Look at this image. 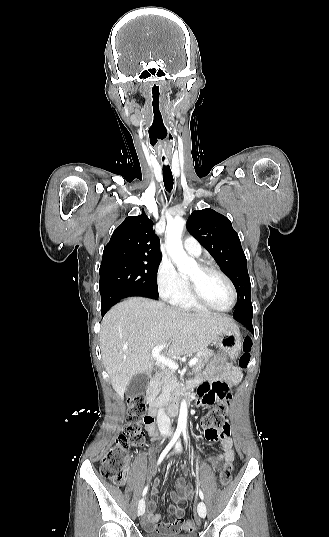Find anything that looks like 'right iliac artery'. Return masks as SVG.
Here are the masks:
<instances>
[{
	"instance_id": "obj_1",
	"label": "right iliac artery",
	"mask_w": 329,
	"mask_h": 537,
	"mask_svg": "<svg viewBox=\"0 0 329 537\" xmlns=\"http://www.w3.org/2000/svg\"><path fill=\"white\" fill-rule=\"evenodd\" d=\"M181 431L182 429L180 428H177L175 433H174V436L173 438L171 439V441L169 442V444L166 446V448L163 450V452L161 453L158 461H157V465H159L162 460L164 459V457L166 456V454L169 452V450L174 446L175 442L177 441V439L179 438L180 434H181ZM148 491V485L145 486V488L143 489V492H142V495L145 496L146 493Z\"/></svg>"
}]
</instances>
